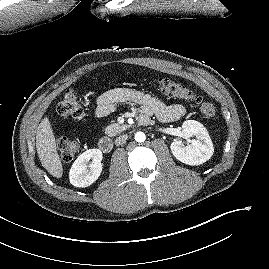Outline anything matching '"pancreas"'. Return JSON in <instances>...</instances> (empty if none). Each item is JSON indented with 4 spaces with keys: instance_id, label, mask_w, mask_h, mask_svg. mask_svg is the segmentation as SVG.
I'll use <instances>...</instances> for the list:
<instances>
[{
    "instance_id": "cf45deb5",
    "label": "pancreas",
    "mask_w": 269,
    "mask_h": 269,
    "mask_svg": "<svg viewBox=\"0 0 269 269\" xmlns=\"http://www.w3.org/2000/svg\"><path fill=\"white\" fill-rule=\"evenodd\" d=\"M128 127L129 125L127 124L114 123L106 127L105 134L112 137L126 130Z\"/></svg>"
}]
</instances>
